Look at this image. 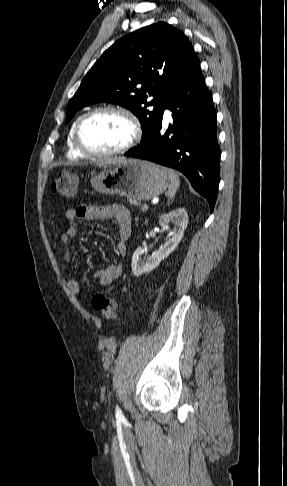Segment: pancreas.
Listing matches in <instances>:
<instances>
[{
	"instance_id": "cf45deb5",
	"label": "pancreas",
	"mask_w": 287,
	"mask_h": 486,
	"mask_svg": "<svg viewBox=\"0 0 287 486\" xmlns=\"http://www.w3.org/2000/svg\"><path fill=\"white\" fill-rule=\"evenodd\" d=\"M129 202H130V204H133V205H136V206L140 205V202H138L137 200L129 199Z\"/></svg>"
}]
</instances>
